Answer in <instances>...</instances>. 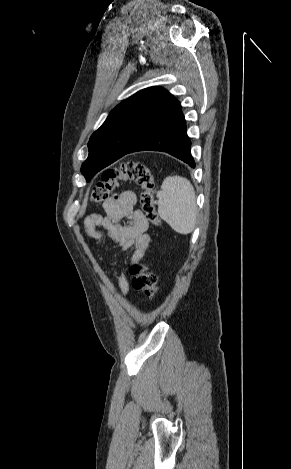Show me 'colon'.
<instances>
[{"label":"colon","instance_id":"obj_1","mask_svg":"<svg viewBox=\"0 0 291 469\" xmlns=\"http://www.w3.org/2000/svg\"><path fill=\"white\" fill-rule=\"evenodd\" d=\"M134 181L141 189V206L147 221L153 226H160L154 199V177L151 170L140 162H126L114 169L103 172L102 179L92 189L91 201L99 203L109 199L122 181ZM133 287L147 298H153L158 290V280L144 262L133 263L130 267Z\"/></svg>","mask_w":291,"mask_h":469}]
</instances>
